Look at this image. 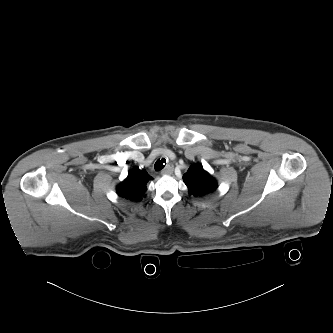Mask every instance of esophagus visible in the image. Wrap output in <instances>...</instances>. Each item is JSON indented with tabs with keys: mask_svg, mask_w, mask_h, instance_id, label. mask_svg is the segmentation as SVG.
<instances>
[{
	"mask_svg": "<svg viewBox=\"0 0 333 333\" xmlns=\"http://www.w3.org/2000/svg\"><path fill=\"white\" fill-rule=\"evenodd\" d=\"M174 171V165L173 164H168L162 171L161 175H171L173 174Z\"/></svg>",
	"mask_w": 333,
	"mask_h": 333,
	"instance_id": "esophagus-1",
	"label": "esophagus"
}]
</instances>
